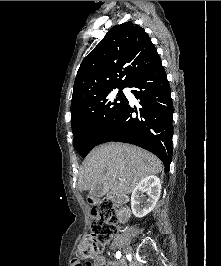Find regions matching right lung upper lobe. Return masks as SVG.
<instances>
[{"label": "right lung upper lobe", "instance_id": "obj_1", "mask_svg": "<svg viewBox=\"0 0 221 266\" xmlns=\"http://www.w3.org/2000/svg\"><path fill=\"white\" fill-rule=\"evenodd\" d=\"M161 62L143 28L131 21L111 28L82 61L74 82L72 117L105 91L129 87L139 75Z\"/></svg>", "mask_w": 221, "mask_h": 266}]
</instances>
